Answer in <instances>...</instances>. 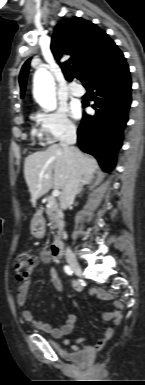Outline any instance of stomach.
Instances as JSON below:
<instances>
[{
  "label": "stomach",
  "mask_w": 145,
  "mask_h": 385,
  "mask_svg": "<svg viewBox=\"0 0 145 385\" xmlns=\"http://www.w3.org/2000/svg\"><path fill=\"white\" fill-rule=\"evenodd\" d=\"M31 234L35 237H42L44 234V224L33 222L31 225Z\"/></svg>",
  "instance_id": "0dacf381"
}]
</instances>
